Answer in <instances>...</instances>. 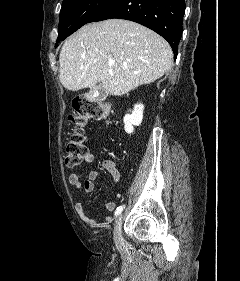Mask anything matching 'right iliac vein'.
Instances as JSON below:
<instances>
[{"instance_id":"63e3f726","label":"right iliac vein","mask_w":240,"mask_h":281,"mask_svg":"<svg viewBox=\"0 0 240 281\" xmlns=\"http://www.w3.org/2000/svg\"><path fill=\"white\" fill-rule=\"evenodd\" d=\"M122 214H120L114 224V232H113V239L116 246L121 247L122 245Z\"/></svg>"}]
</instances>
